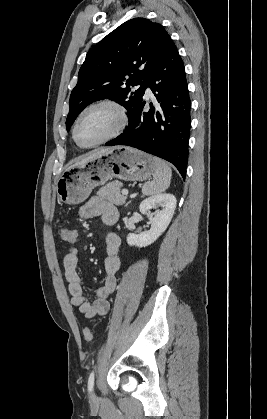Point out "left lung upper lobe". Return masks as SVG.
<instances>
[{"instance_id": "1", "label": "left lung upper lobe", "mask_w": 267, "mask_h": 419, "mask_svg": "<svg viewBox=\"0 0 267 419\" xmlns=\"http://www.w3.org/2000/svg\"><path fill=\"white\" fill-rule=\"evenodd\" d=\"M170 41L159 23L134 18L91 48L70 96L67 131L86 106L105 98L124 106L129 117L143 99L146 79L164 56ZM139 84L137 90H132Z\"/></svg>"}]
</instances>
